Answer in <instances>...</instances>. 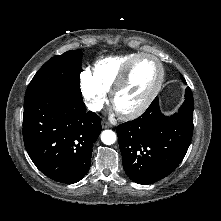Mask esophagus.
I'll return each mask as SVG.
<instances>
[{
    "label": "esophagus",
    "instance_id": "1",
    "mask_svg": "<svg viewBox=\"0 0 221 221\" xmlns=\"http://www.w3.org/2000/svg\"><path fill=\"white\" fill-rule=\"evenodd\" d=\"M111 127V124L107 121H103L102 122V128L105 129V128H110Z\"/></svg>",
    "mask_w": 221,
    "mask_h": 221
}]
</instances>
